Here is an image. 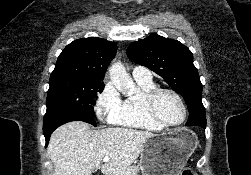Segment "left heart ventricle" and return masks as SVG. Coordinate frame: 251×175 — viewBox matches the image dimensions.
Instances as JSON below:
<instances>
[{
  "label": "left heart ventricle",
  "instance_id": "left-heart-ventricle-1",
  "mask_svg": "<svg viewBox=\"0 0 251 175\" xmlns=\"http://www.w3.org/2000/svg\"><path fill=\"white\" fill-rule=\"evenodd\" d=\"M155 108L158 116L169 125H178L184 118L183 107L172 93H161L156 99Z\"/></svg>",
  "mask_w": 251,
  "mask_h": 175
}]
</instances>
